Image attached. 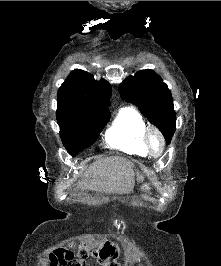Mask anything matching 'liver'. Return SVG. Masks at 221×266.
<instances>
[{
  "label": "liver",
  "instance_id": "1",
  "mask_svg": "<svg viewBox=\"0 0 221 266\" xmlns=\"http://www.w3.org/2000/svg\"><path fill=\"white\" fill-rule=\"evenodd\" d=\"M137 178L142 180L138 173ZM78 185L86 190L128 194L135 185L134 165L123 157L99 159L89 166Z\"/></svg>",
  "mask_w": 221,
  "mask_h": 266
}]
</instances>
